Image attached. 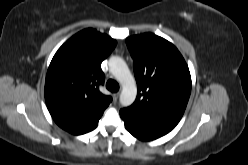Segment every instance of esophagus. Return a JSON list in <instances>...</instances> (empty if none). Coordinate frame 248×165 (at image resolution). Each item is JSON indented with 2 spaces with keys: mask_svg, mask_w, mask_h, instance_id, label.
<instances>
[{
  "mask_svg": "<svg viewBox=\"0 0 248 165\" xmlns=\"http://www.w3.org/2000/svg\"><path fill=\"white\" fill-rule=\"evenodd\" d=\"M113 96H114V99L117 100L119 98V96H120V92L114 93Z\"/></svg>",
  "mask_w": 248,
  "mask_h": 165,
  "instance_id": "esophagus-1",
  "label": "esophagus"
}]
</instances>
